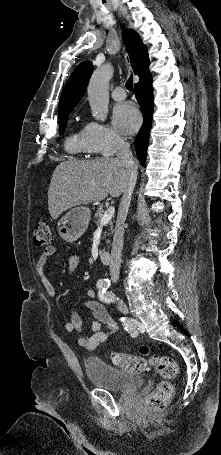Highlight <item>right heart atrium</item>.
I'll return each instance as SVG.
<instances>
[{
  "mask_svg": "<svg viewBox=\"0 0 221 455\" xmlns=\"http://www.w3.org/2000/svg\"><path fill=\"white\" fill-rule=\"evenodd\" d=\"M83 130L90 153L112 155L123 142L117 131L100 122L90 121Z\"/></svg>",
  "mask_w": 221,
  "mask_h": 455,
  "instance_id": "d8ad5b80",
  "label": "right heart atrium"
}]
</instances>
